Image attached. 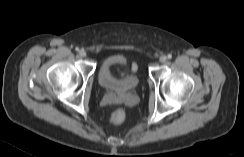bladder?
Segmentation results:
<instances>
[{"label":"bladder","mask_w":244,"mask_h":157,"mask_svg":"<svg viewBox=\"0 0 244 157\" xmlns=\"http://www.w3.org/2000/svg\"><path fill=\"white\" fill-rule=\"evenodd\" d=\"M127 64L126 58L120 55L104 59L98 70V80L101 87L117 96H125L134 92L139 85V77L136 73L129 72L121 78H117L113 73L115 66L126 67Z\"/></svg>","instance_id":"obj_1"}]
</instances>
